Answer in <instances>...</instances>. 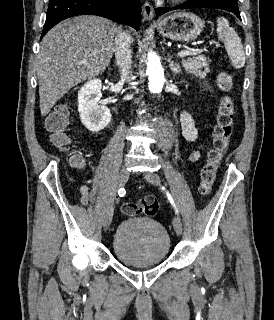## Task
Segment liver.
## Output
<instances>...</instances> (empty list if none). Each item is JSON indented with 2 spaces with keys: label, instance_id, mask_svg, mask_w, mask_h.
Returning <instances> with one entry per match:
<instances>
[{
  "label": "liver",
  "instance_id": "liver-1",
  "mask_svg": "<svg viewBox=\"0 0 274 320\" xmlns=\"http://www.w3.org/2000/svg\"><path fill=\"white\" fill-rule=\"evenodd\" d=\"M115 28L106 18L76 16L44 36L36 60L41 116L71 88L105 72L115 50Z\"/></svg>",
  "mask_w": 274,
  "mask_h": 320
}]
</instances>
